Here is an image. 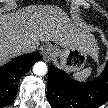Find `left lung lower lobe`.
Segmentation results:
<instances>
[{"label": "left lung lower lobe", "instance_id": "obj_1", "mask_svg": "<svg viewBox=\"0 0 108 108\" xmlns=\"http://www.w3.org/2000/svg\"><path fill=\"white\" fill-rule=\"evenodd\" d=\"M47 96L52 108H99L108 100V64L99 77L86 83L51 66Z\"/></svg>", "mask_w": 108, "mask_h": 108}]
</instances>
